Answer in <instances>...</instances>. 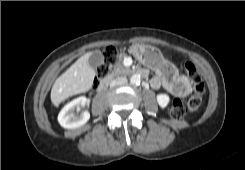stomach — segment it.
Masks as SVG:
<instances>
[{
	"mask_svg": "<svg viewBox=\"0 0 245 170\" xmlns=\"http://www.w3.org/2000/svg\"><path fill=\"white\" fill-rule=\"evenodd\" d=\"M132 55L143 65L151 68L158 69L163 64V57L160 51L149 45L134 44L130 48ZM181 81L180 78L177 79ZM186 88H189V83H185Z\"/></svg>",
	"mask_w": 245,
	"mask_h": 170,
	"instance_id": "1",
	"label": "stomach"
}]
</instances>
